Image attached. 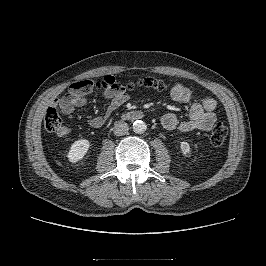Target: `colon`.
<instances>
[{"instance_id": "5ec220e1", "label": "colon", "mask_w": 266, "mask_h": 266, "mask_svg": "<svg viewBox=\"0 0 266 266\" xmlns=\"http://www.w3.org/2000/svg\"><path fill=\"white\" fill-rule=\"evenodd\" d=\"M139 86L153 88L159 91L167 89L168 85L165 81L153 77H145L139 80ZM96 88L101 91H107L110 89L115 90H132L134 84L123 85L114 76L108 75L97 80H82L74 83L70 92L73 94H82L88 92L90 89ZM44 126L49 132H61L63 129L62 119L59 112L54 107H49L45 113ZM228 134V130L225 125L219 123L216 124L211 131L210 141L214 146H220L224 143Z\"/></svg>"}]
</instances>
